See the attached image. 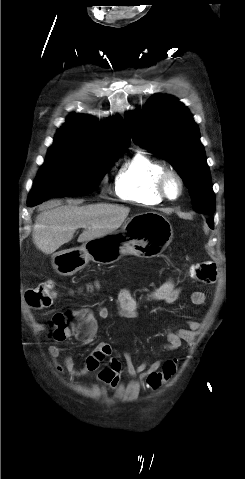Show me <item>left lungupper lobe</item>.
<instances>
[{
	"label": "left lung upper lobe",
	"instance_id": "5c2ea615",
	"mask_svg": "<svg viewBox=\"0 0 245 479\" xmlns=\"http://www.w3.org/2000/svg\"><path fill=\"white\" fill-rule=\"evenodd\" d=\"M133 141L168 160L187 186L193 208L213 215L215 194L200 142L197 124L192 115L174 97L155 95L142 111L125 115Z\"/></svg>",
	"mask_w": 245,
	"mask_h": 479
}]
</instances>
